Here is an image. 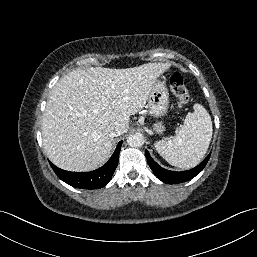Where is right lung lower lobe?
<instances>
[{"instance_id": "1", "label": "right lung lower lobe", "mask_w": 257, "mask_h": 257, "mask_svg": "<svg viewBox=\"0 0 257 257\" xmlns=\"http://www.w3.org/2000/svg\"><path fill=\"white\" fill-rule=\"evenodd\" d=\"M121 145L122 141L118 143L115 152L104 166L91 172H69L56 167L51 162L49 163L56 175L67 184L82 189H99L110 181L118 165Z\"/></svg>"}]
</instances>
